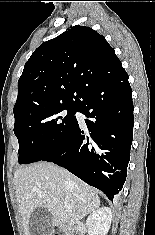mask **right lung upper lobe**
I'll use <instances>...</instances> for the list:
<instances>
[{
  "label": "right lung upper lobe",
  "instance_id": "1",
  "mask_svg": "<svg viewBox=\"0 0 155 235\" xmlns=\"http://www.w3.org/2000/svg\"><path fill=\"white\" fill-rule=\"evenodd\" d=\"M124 71L104 36L76 25L42 43L18 80L15 118L31 110L76 104L95 84Z\"/></svg>",
  "mask_w": 155,
  "mask_h": 235
}]
</instances>
